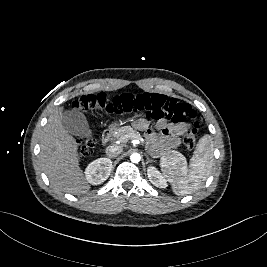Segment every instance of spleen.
<instances>
[{
	"instance_id": "obj_1",
	"label": "spleen",
	"mask_w": 267,
	"mask_h": 267,
	"mask_svg": "<svg viewBox=\"0 0 267 267\" xmlns=\"http://www.w3.org/2000/svg\"><path fill=\"white\" fill-rule=\"evenodd\" d=\"M213 163V141L208 134L202 136L187 167L185 157L176 151L173 159H163L164 176L176 195L185 196L198 190L210 174Z\"/></svg>"
}]
</instances>
